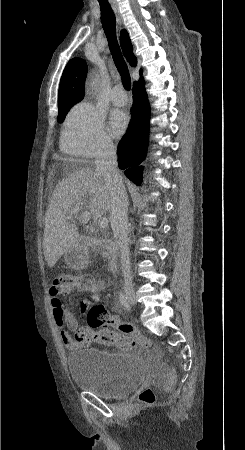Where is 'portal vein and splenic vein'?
I'll list each match as a JSON object with an SVG mask.
<instances>
[{
	"label": "portal vein and splenic vein",
	"instance_id": "obj_1",
	"mask_svg": "<svg viewBox=\"0 0 245 450\" xmlns=\"http://www.w3.org/2000/svg\"><path fill=\"white\" fill-rule=\"evenodd\" d=\"M81 210L80 206H76L73 211L71 212V214L68 216V218H72V216L74 214H76L77 212H79ZM98 225L100 228H106L108 226V220L106 218H100L98 220Z\"/></svg>",
	"mask_w": 245,
	"mask_h": 450
}]
</instances>
